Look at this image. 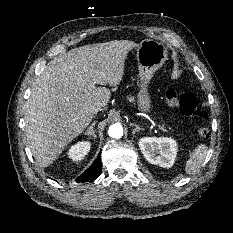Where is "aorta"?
Returning <instances> with one entry per match:
<instances>
[{
    "mask_svg": "<svg viewBox=\"0 0 233 233\" xmlns=\"http://www.w3.org/2000/svg\"><path fill=\"white\" fill-rule=\"evenodd\" d=\"M108 134L112 138L119 139L123 136V128L120 124H113L109 127Z\"/></svg>",
    "mask_w": 233,
    "mask_h": 233,
    "instance_id": "762f6f07",
    "label": "aorta"
}]
</instances>
